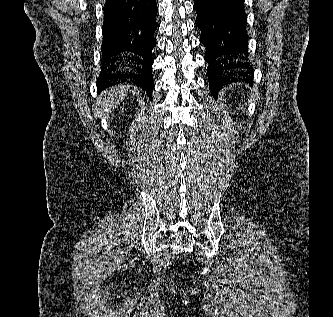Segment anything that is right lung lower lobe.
Returning <instances> with one entry per match:
<instances>
[{"label":"right lung lower lobe","instance_id":"obj_1","mask_svg":"<svg viewBox=\"0 0 333 317\" xmlns=\"http://www.w3.org/2000/svg\"><path fill=\"white\" fill-rule=\"evenodd\" d=\"M103 13V58L96 82L98 92L117 84L121 78H129L151 98L154 88L152 49L156 45V0H106ZM125 51L141 56L137 61L141 68L135 74L119 75L113 72L115 64L121 63L116 55Z\"/></svg>","mask_w":333,"mask_h":317}]
</instances>
